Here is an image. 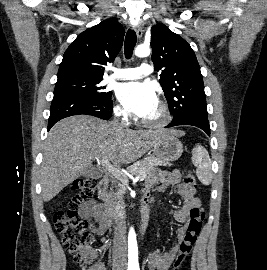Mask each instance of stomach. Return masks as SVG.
Segmentation results:
<instances>
[{
	"instance_id": "obj_1",
	"label": "stomach",
	"mask_w": 267,
	"mask_h": 270,
	"mask_svg": "<svg viewBox=\"0 0 267 270\" xmlns=\"http://www.w3.org/2000/svg\"><path fill=\"white\" fill-rule=\"evenodd\" d=\"M153 151L161 160L175 161L182 155L183 145L176 136L168 135L154 146Z\"/></svg>"
}]
</instances>
